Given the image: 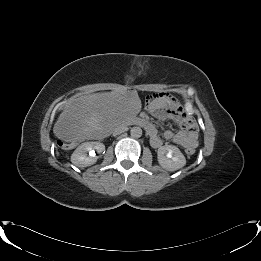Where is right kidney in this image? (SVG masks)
Wrapping results in <instances>:
<instances>
[{
  "label": "right kidney",
  "mask_w": 261,
  "mask_h": 261,
  "mask_svg": "<svg viewBox=\"0 0 261 261\" xmlns=\"http://www.w3.org/2000/svg\"><path fill=\"white\" fill-rule=\"evenodd\" d=\"M105 152V145L101 142H84L79 145L71 155V162L78 167H87L96 163L98 156ZM89 153V155H88Z\"/></svg>",
  "instance_id": "obj_1"
}]
</instances>
